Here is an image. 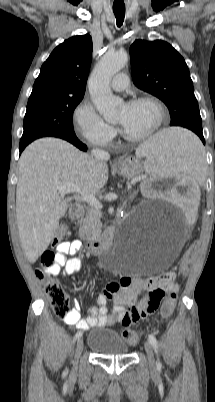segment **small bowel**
<instances>
[{"label": "small bowel", "instance_id": "obj_1", "mask_svg": "<svg viewBox=\"0 0 215 402\" xmlns=\"http://www.w3.org/2000/svg\"><path fill=\"white\" fill-rule=\"evenodd\" d=\"M81 248L82 244L77 240L58 244L55 264L47 271L53 275L78 273L82 268V262L74 256ZM67 255L73 257L68 259ZM178 288L179 284L175 282L174 274L170 278L159 276L150 278L123 277L119 281L107 284L98 296V305L89 308L87 317L81 316L80 302L75 299L73 307L63 317V320L68 325H73L83 331L92 327H107L116 323L130 326L150 314L146 309L152 302L153 294L156 291H177ZM109 300L114 303L111 315H108L107 303ZM134 311H137V314H134Z\"/></svg>", "mask_w": 215, "mask_h": 402}]
</instances>
